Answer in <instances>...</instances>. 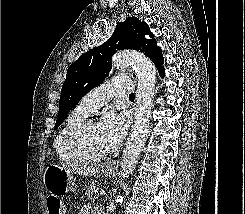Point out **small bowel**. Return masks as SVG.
Masks as SVG:
<instances>
[{"instance_id":"1","label":"small bowel","mask_w":245,"mask_h":214,"mask_svg":"<svg viewBox=\"0 0 245 214\" xmlns=\"http://www.w3.org/2000/svg\"><path fill=\"white\" fill-rule=\"evenodd\" d=\"M80 214H104L103 211L99 208H92L89 205L83 207Z\"/></svg>"}]
</instances>
